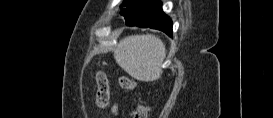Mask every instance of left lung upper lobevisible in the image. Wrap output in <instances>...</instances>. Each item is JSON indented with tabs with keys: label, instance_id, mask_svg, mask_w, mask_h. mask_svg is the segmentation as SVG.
I'll return each instance as SVG.
<instances>
[{
	"label": "left lung upper lobe",
	"instance_id": "obj_1",
	"mask_svg": "<svg viewBox=\"0 0 273 118\" xmlns=\"http://www.w3.org/2000/svg\"><path fill=\"white\" fill-rule=\"evenodd\" d=\"M120 7L126 24H131L159 13L162 10V3L160 0H124Z\"/></svg>",
	"mask_w": 273,
	"mask_h": 118
}]
</instances>
